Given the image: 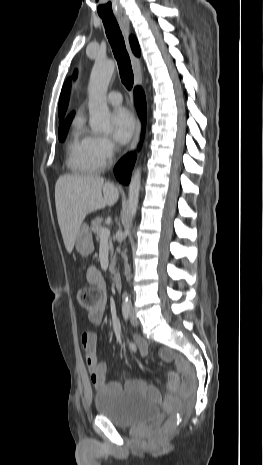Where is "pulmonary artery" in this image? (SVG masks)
<instances>
[{
	"label": "pulmonary artery",
	"mask_w": 263,
	"mask_h": 465,
	"mask_svg": "<svg viewBox=\"0 0 263 465\" xmlns=\"http://www.w3.org/2000/svg\"><path fill=\"white\" fill-rule=\"evenodd\" d=\"M107 101L111 105H119L122 102V95L118 91H111L107 95Z\"/></svg>",
	"instance_id": "obj_1"
}]
</instances>
